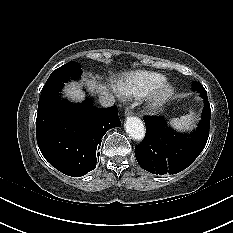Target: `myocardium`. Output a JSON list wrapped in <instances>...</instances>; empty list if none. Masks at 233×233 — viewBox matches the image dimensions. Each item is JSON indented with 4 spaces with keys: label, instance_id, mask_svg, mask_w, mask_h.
Masks as SVG:
<instances>
[{
    "label": "myocardium",
    "instance_id": "1",
    "mask_svg": "<svg viewBox=\"0 0 233 233\" xmlns=\"http://www.w3.org/2000/svg\"><path fill=\"white\" fill-rule=\"evenodd\" d=\"M174 88L168 82H163L152 90L146 98V108L148 111H156L162 107L173 95Z\"/></svg>",
    "mask_w": 233,
    "mask_h": 233
}]
</instances>
